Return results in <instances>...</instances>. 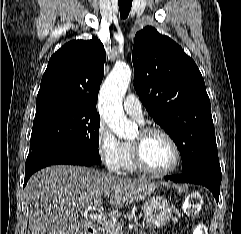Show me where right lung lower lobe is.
<instances>
[{
    "label": "right lung lower lobe",
    "instance_id": "obj_1",
    "mask_svg": "<svg viewBox=\"0 0 241 234\" xmlns=\"http://www.w3.org/2000/svg\"><path fill=\"white\" fill-rule=\"evenodd\" d=\"M55 164L91 166L95 163L87 156L66 145L50 144L42 146L30 150L28 154L25 164L24 186L34 172Z\"/></svg>",
    "mask_w": 241,
    "mask_h": 234
}]
</instances>
